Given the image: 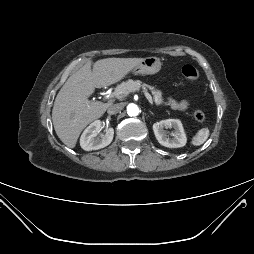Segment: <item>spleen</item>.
<instances>
[{"instance_id":"1","label":"spleen","mask_w":254,"mask_h":254,"mask_svg":"<svg viewBox=\"0 0 254 254\" xmlns=\"http://www.w3.org/2000/svg\"><path fill=\"white\" fill-rule=\"evenodd\" d=\"M210 131L207 127L198 130L196 135L192 138V144L194 146L202 145L209 137Z\"/></svg>"}]
</instances>
